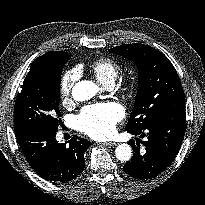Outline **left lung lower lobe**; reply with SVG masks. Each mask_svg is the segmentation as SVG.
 <instances>
[{
  "label": "left lung lower lobe",
  "instance_id": "1",
  "mask_svg": "<svg viewBox=\"0 0 205 205\" xmlns=\"http://www.w3.org/2000/svg\"><path fill=\"white\" fill-rule=\"evenodd\" d=\"M185 109L170 111L148 123L138 131H128L145 141L136 139L129 144L133 148V157L123 170L129 176L147 180L157 177L166 170L176 157L185 134ZM140 143L144 149L140 150Z\"/></svg>",
  "mask_w": 205,
  "mask_h": 205
}]
</instances>
